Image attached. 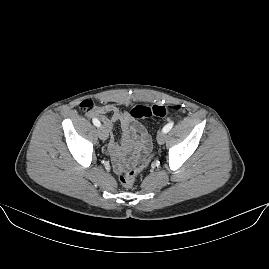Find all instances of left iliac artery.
<instances>
[{"mask_svg":"<svg viewBox=\"0 0 269 269\" xmlns=\"http://www.w3.org/2000/svg\"><path fill=\"white\" fill-rule=\"evenodd\" d=\"M173 122H170V123H168L167 125H165L164 127H163V132L164 133H167V132H169L170 130H171V128L173 127Z\"/></svg>","mask_w":269,"mask_h":269,"instance_id":"obj_1","label":"left iliac artery"}]
</instances>
